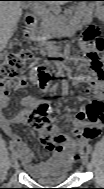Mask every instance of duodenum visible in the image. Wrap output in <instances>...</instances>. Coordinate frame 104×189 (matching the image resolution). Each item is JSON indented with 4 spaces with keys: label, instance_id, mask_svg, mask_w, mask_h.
<instances>
[{
    "label": "duodenum",
    "instance_id": "1",
    "mask_svg": "<svg viewBox=\"0 0 104 189\" xmlns=\"http://www.w3.org/2000/svg\"><path fill=\"white\" fill-rule=\"evenodd\" d=\"M36 18L32 15H29L25 18L24 25H25V32L24 37L27 39L31 36V33L36 27Z\"/></svg>",
    "mask_w": 104,
    "mask_h": 189
}]
</instances>
